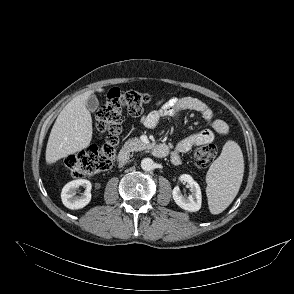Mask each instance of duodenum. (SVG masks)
Here are the masks:
<instances>
[{
  "instance_id": "1",
  "label": "duodenum",
  "mask_w": 294,
  "mask_h": 294,
  "mask_svg": "<svg viewBox=\"0 0 294 294\" xmlns=\"http://www.w3.org/2000/svg\"><path fill=\"white\" fill-rule=\"evenodd\" d=\"M152 154L158 158L165 157L169 152V147L167 144H156L151 149ZM118 161L120 164L125 165L129 161V152L124 149L119 152Z\"/></svg>"
}]
</instances>
